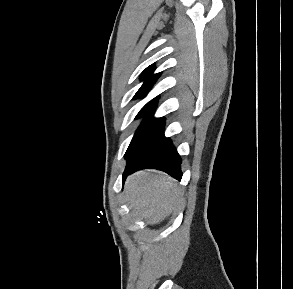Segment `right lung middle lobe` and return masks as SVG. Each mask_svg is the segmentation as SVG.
<instances>
[{
	"label": "right lung middle lobe",
	"mask_w": 293,
	"mask_h": 289,
	"mask_svg": "<svg viewBox=\"0 0 293 289\" xmlns=\"http://www.w3.org/2000/svg\"><path fill=\"white\" fill-rule=\"evenodd\" d=\"M155 105V101H150L148 104H146L141 111L138 113L136 118H139L140 116L144 115L145 113H148L152 110V108ZM164 121V118H153L152 115H149L146 117V119L143 121L141 126L136 131L129 147L135 146L138 144L142 139H144L156 126H158L161 122Z\"/></svg>",
	"instance_id": "1"
}]
</instances>
